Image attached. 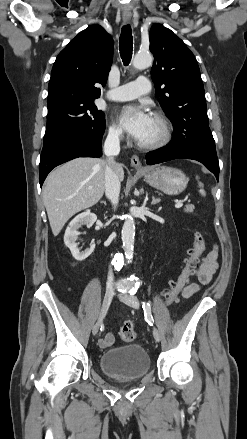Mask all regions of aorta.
I'll return each mask as SVG.
<instances>
[{
  "instance_id": "762f6f07",
  "label": "aorta",
  "mask_w": 247,
  "mask_h": 439,
  "mask_svg": "<svg viewBox=\"0 0 247 439\" xmlns=\"http://www.w3.org/2000/svg\"><path fill=\"white\" fill-rule=\"evenodd\" d=\"M153 57L150 53L138 52L133 59V66L137 69H144L152 64ZM135 236V221L134 218L128 214L125 216V222L122 228V242L125 255L128 258L133 256Z\"/></svg>"
}]
</instances>
